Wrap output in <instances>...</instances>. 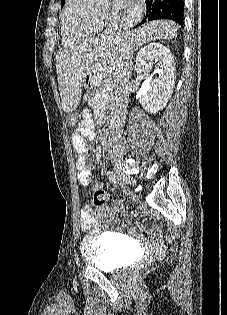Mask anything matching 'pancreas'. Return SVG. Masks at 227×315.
I'll return each mask as SVG.
<instances>
[{
  "label": "pancreas",
  "mask_w": 227,
  "mask_h": 315,
  "mask_svg": "<svg viewBox=\"0 0 227 315\" xmlns=\"http://www.w3.org/2000/svg\"><path fill=\"white\" fill-rule=\"evenodd\" d=\"M101 85L102 83V79L101 81H99V77L97 76H93L90 80V85H91V88L89 90V104L91 106H96V105H99L100 106V109L102 110V112L104 114L107 113L108 109L110 108V101H111V97H112V91H110L108 93V97L106 98H101V99H97L96 97V94L99 93L103 88L102 87H99V85ZM97 100H98V103H97ZM106 118V117H105Z\"/></svg>",
  "instance_id": "pancreas-1"
}]
</instances>
